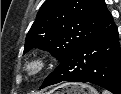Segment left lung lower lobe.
I'll return each mask as SVG.
<instances>
[{
	"label": "left lung lower lobe",
	"instance_id": "left-lung-lower-lobe-1",
	"mask_svg": "<svg viewBox=\"0 0 121 94\" xmlns=\"http://www.w3.org/2000/svg\"><path fill=\"white\" fill-rule=\"evenodd\" d=\"M63 81L90 82L121 94V50L114 22L67 56L40 89Z\"/></svg>",
	"mask_w": 121,
	"mask_h": 94
}]
</instances>
